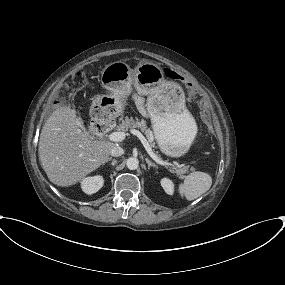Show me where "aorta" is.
<instances>
[{
    "mask_svg": "<svg viewBox=\"0 0 285 285\" xmlns=\"http://www.w3.org/2000/svg\"><path fill=\"white\" fill-rule=\"evenodd\" d=\"M126 166L130 170H135L139 166V160L136 157H130L126 161Z\"/></svg>",
    "mask_w": 285,
    "mask_h": 285,
    "instance_id": "1",
    "label": "aorta"
}]
</instances>
